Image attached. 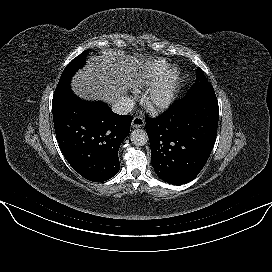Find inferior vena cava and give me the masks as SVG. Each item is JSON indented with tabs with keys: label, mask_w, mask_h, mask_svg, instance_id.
I'll return each instance as SVG.
<instances>
[{
	"label": "inferior vena cava",
	"mask_w": 272,
	"mask_h": 272,
	"mask_svg": "<svg viewBox=\"0 0 272 272\" xmlns=\"http://www.w3.org/2000/svg\"><path fill=\"white\" fill-rule=\"evenodd\" d=\"M134 105L135 102L131 98L124 96L112 103L111 109L119 115H127L133 110Z\"/></svg>",
	"instance_id": "inferior-vena-cava-1"
}]
</instances>
